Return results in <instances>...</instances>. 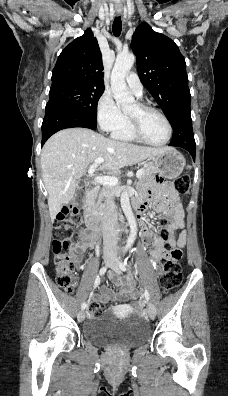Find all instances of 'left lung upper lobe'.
Returning a JSON list of instances; mask_svg holds the SVG:
<instances>
[{"label": "left lung upper lobe", "instance_id": "1", "mask_svg": "<svg viewBox=\"0 0 228 396\" xmlns=\"http://www.w3.org/2000/svg\"><path fill=\"white\" fill-rule=\"evenodd\" d=\"M131 48L136 55L139 78L173 123L181 109L190 108L185 59L173 40L153 31L147 23L135 30Z\"/></svg>", "mask_w": 228, "mask_h": 396}]
</instances>
